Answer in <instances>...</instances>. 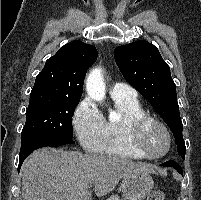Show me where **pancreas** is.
Instances as JSON below:
<instances>
[{"label": "pancreas", "instance_id": "obj_1", "mask_svg": "<svg viewBox=\"0 0 201 200\" xmlns=\"http://www.w3.org/2000/svg\"><path fill=\"white\" fill-rule=\"evenodd\" d=\"M106 200H124V199H121L118 195H112L109 198H107Z\"/></svg>", "mask_w": 201, "mask_h": 200}]
</instances>
